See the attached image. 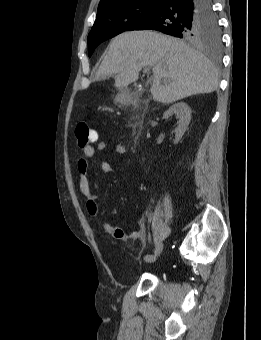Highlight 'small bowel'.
I'll return each mask as SVG.
<instances>
[{"mask_svg":"<svg viewBox=\"0 0 261 340\" xmlns=\"http://www.w3.org/2000/svg\"><path fill=\"white\" fill-rule=\"evenodd\" d=\"M98 140V139H97ZM96 140V141H97ZM108 145L105 141H99L96 148L91 144L82 146L83 156L79 157L75 163V170L78 177L79 190L83 197L85 198V210L89 216H96L99 213L98 206V195L95 194L90 186L89 176H88V162L89 159L96 156V152H103L107 149ZM115 153L117 155L123 156L126 154L127 149L123 143H117L114 146ZM100 170L105 174H111L113 172L112 166L105 160H100L99 163ZM101 228L110 233L116 239H130L132 241L143 240L145 237L144 226L141 225L138 229L132 231H126L119 227H114L110 223L104 221L101 223Z\"/></svg>","mask_w":261,"mask_h":340,"instance_id":"small-bowel-1","label":"small bowel"}]
</instances>
